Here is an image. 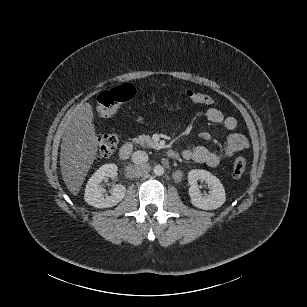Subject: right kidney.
<instances>
[{"label":"right kidney","mask_w":307,"mask_h":307,"mask_svg":"<svg viewBox=\"0 0 307 307\" xmlns=\"http://www.w3.org/2000/svg\"><path fill=\"white\" fill-rule=\"evenodd\" d=\"M117 170L118 167L115 164H105L91 176L84 195V199L89 205L97 208H108L115 206L124 198L125 186L117 184L112 188L110 196H104L102 194L104 189L99 185L106 177L115 178Z\"/></svg>","instance_id":"obj_1"}]
</instances>
